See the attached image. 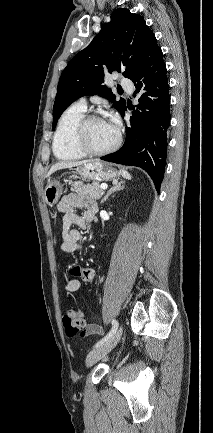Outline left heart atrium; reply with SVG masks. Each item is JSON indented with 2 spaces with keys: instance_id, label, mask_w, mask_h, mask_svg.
Returning a JSON list of instances; mask_svg holds the SVG:
<instances>
[{
  "instance_id": "1",
  "label": "left heart atrium",
  "mask_w": 213,
  "mask_h": 433,
  "mask_svg": "<svg viewBox=\"0 0 213 433\" xmlns=\"http://www.w3.org/2000/svg\"><path fill=\"white\" fill-rule=\"evenodd\" d=\"M110 123L113 125V127H115L116 129H118L115 122H110Z\"/></svg>"
}]
</instances>
